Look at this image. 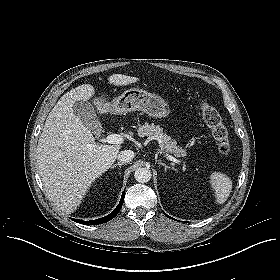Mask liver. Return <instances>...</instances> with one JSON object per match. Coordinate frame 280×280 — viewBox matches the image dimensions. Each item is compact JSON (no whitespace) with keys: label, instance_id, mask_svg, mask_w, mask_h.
I'll use <instances>...</instances> for the list:
<instances>
[{"label":"liver","instance_id":"6515ba94","mask_svg":"<svg viewBox=\"0 0 280 280\" xmlns=\"http://www.w3.org/2000/svg\"><path fill=\"white\" fill-rule=\"evenodd\" d=\"M138 81L122 74L108 78L115 86ZM94 94L90 84L64 94L47 116L38 140L37 168L43 186L49 199L68 214L77 209L92 182L112 166L121 149L119 144H96L91 131L73 112L76 101H87ZM93 103L100 114L114 113L105 97Z\"/></svg>","mask_w":280,"mask_h":280}]
</instances>
